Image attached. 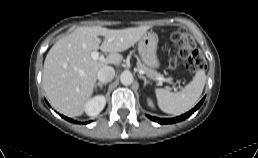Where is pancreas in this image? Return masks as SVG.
Masks as SVG:
<instances>
[{
	"label": "pancreas",
	"mask_w": 258,
	"mask_h": 158,
	"mask_svg": "<svg viewBox=\"0 0 258 158\" xmlns=\"http://www.w3.org/2000/svg\"><path fill=\"white\" fill-rule=\"evenodd\" d=\"M137 68H138V70H143L145 72V74L147 75V77H149L153 80H157L158 77L162 76L160 73H158L157 71L145 66L140 61L137 62Z\"/></svg>",
	"instance_id": "1"
}]
</instances>
